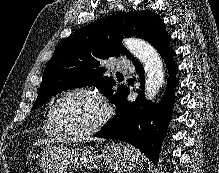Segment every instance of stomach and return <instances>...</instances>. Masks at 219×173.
<instances>
[{
  "label": "stomach",
  "instance_id": "0dacf381",
  "mask_svg": "<svg viewBox=\"0 0 219 173\" xmlns=\"http://www.w3.org/2000/svg\"><path fill=\"white\" fill-rule=\"evenodd\" d=\"M117 173H124L139 165L138 154L122 143L105 145L99 150L92 147H70L62 143L47 144L38 156L43 173H67L68 167H90L100 162Z\"/></svg>",
  "mask_w": 219,
  "mask_h": 173
}]
</instances>
